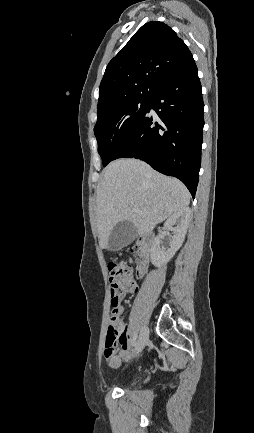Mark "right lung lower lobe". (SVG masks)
I'll use <instances>...</instances> for the list:
<instances>
[{
	"label": "right lung lower lobe",
	"mask_w": 254,
	"mask_h": 433,
	"mask_svg": "<svg viewBox=\"0 0 254 433\" xmlns=\"http://www.w3.org/2000/svg\"><path fill=\"white\" fill-rule=\"evenodd\" d=\"M194 60L170 77L112 160L128 157L180 179L195 197L201 164L204 104ZM153 109L156 114H151Z\"/></svg>",
	"instance_id": "98d812e1"
}]
</instances>
